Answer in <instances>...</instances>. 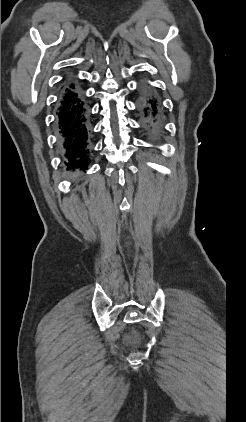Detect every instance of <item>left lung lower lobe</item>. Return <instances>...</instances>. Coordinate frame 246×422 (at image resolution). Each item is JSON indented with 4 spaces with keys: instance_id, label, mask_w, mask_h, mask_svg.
Wrapping results in <instances>:
<instances>
[{
    "instance_id": "obj_1",
    "label": "left lung lower lobe",
    "mask_w": 246,
    "mask_h": 422,
    "mask_svg": "<svg viewBox=\"0 0 246 422\" xmlns=\"http://www.w3.org/2000/svg\"><path fill=\"white\" fill-rule=\"evenodd\" d=\"M138 102L145 130L156 136L161 130L162 120L161 106L156 95L146 85H142Z\"/></svg>"
}]
</instances>
